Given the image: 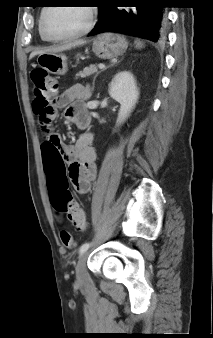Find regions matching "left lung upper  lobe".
<instances>
[{
  "instance_id": "5c2ea615",
  "label": "left lung upper lobe",
  "mask_w": 213,
  "mask_h": 338,
  "mask_svg": "<svg viewBox=\"0 0 213 338\" xmlns=\"http://www.w3.org/2000/svg\"><path fill=\"white\" fill-rule=\"evenodd\" d=\"M100 2H101V0H99L97 3L99 4V6H100ZM33 7H35V6H33ZM99 8V7H98Z\"/></svg>"
}]
</instances>
